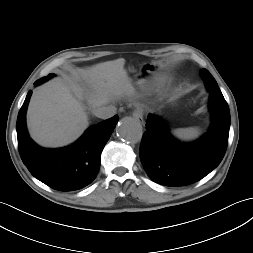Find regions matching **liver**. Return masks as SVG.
<instances>
[{"mask_svg": "<svg viewBox=\"0 0 253 253\" xmlns=\"http://www.w3.org/2000/svg\"><path fill=\"white\" fill-rule=\"evenodd\" d=\"M125 59L119 58L74 71V81L54 79L35 90L27 111L31 137L44 147H60L75 141L88 127L85 107L77 99L83 89L76 81L92 86L90 104L99 107L128 87Z\"/></svg>", "mask_w": 253, "mask_h": 253, "instance_id": "liver-1", "label": "liver"}]
</instances>
